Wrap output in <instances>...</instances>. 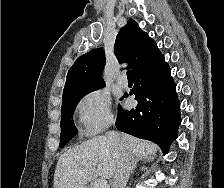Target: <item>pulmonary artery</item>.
<instances>
[{
    "label": "pulmonary artery",
    "instance_id": "e3ab8cb5",
    "mask_svg": "<svg viewBox=\"0 0 224 188\" xmlns=\"http://www.w3.org/2000/svg\"><path fill=\"white\" fill-rule=\"evenodd\" d=\"M117 85L120 88H126L128 86V81L125 74H121L117 78Z\"/></svg>",
    "mask_w": 224,
    "mask_h": 188
}]
</instances>
